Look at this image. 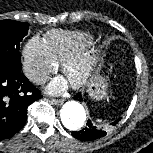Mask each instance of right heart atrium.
<instances>
[{
  "instance_id": "1",
  "label": "right heart atrium",
  "mask_w": 153,
  "mask_h": 153,
  "mask_svg": "<svg viewBox=\"0 0 153 153\" xmlns=\"http://www.w3.org/2000/svg\"><path fill=\"white\" fill-rule=\"evenodd\" d=\"M23 69L34 83H43L58 67L45 40L37 36L29 39L22 51Z\"/></svg>"
}]
</instances>
